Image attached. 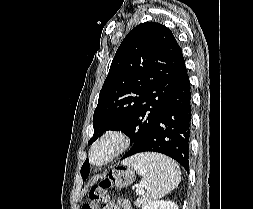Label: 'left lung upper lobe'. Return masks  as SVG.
Here are the masks:
<instances>
[{
  "label": "left lung upper lobe",
  "instance_id": "left-lung-upper-lobe-1",
  "mask_svg": "<svg viewBox=\"0 0 253 209\" xmlns=\"http://www.w3.org/2000/svg\"><path fill=\"white\" fill-rule=\"evenodd\" d=\"M184 64L169 28L155 22L133 28L116 51L100 91L88 145L105 131L120 130L133 143L122 158L137 152L163 113ZM88 174L86 160L84 180Z\"/></svg>",
  "mask_w": 253,
  "mask_h": 209
}]
</instances>
